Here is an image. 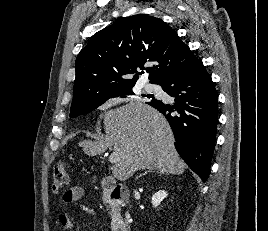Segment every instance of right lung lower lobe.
Listing matches in <instances>:
<instances>
[{
  "label": "right lung lower lobe",
  "mask_w": 268,
  "mask_h": 231,
  "mask_svg": "<svg viewBox=\"0 0 268 231\" xmlns=\"http://www.w3.org/2000/svg\"><path fill=\"white\" fill-rule=\"evenodd\" d=\"M161 86L174 98V103L153 99L148 104L166 117L179 155L206 182L218 122V99L212 79L200 62L194 68L167 79Z\"/></svg>",
  "instance_id": "1"
}]
</instances>
